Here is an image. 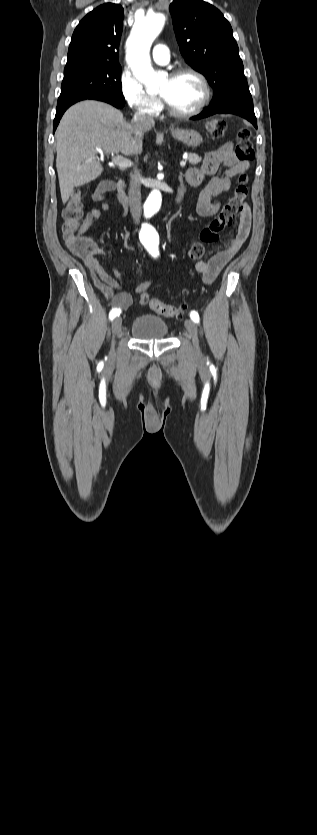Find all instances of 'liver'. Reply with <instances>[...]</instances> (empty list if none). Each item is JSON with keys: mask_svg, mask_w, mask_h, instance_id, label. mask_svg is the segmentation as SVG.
Segmentation results:
<instances>
[{"mask_svg": "<svg viewBox=\"0 0 317 835\" xmlns=\"http://www.w3.org/2000/svg\"><path fill=\"white\" fill-rule=\"evenodd\" d=\"M133 124L121 111L99 101L85 100L71 106L56 130V168L62 202L66 203L74 187L89 183L102 172L96 153L142 152V141L134 138Z\"/></svg>", "mask_w": 317, "mask_h": 835, "instance_id": "liver-1", "label": "liver"}]
</instances>
